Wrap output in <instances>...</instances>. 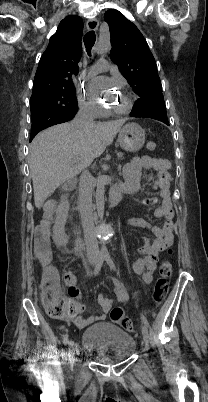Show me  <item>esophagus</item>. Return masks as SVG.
<instances>
[{"instance_id":"esophagus-1","label":"esophagus","mask_w":208,"mask_h":402,"mask_svg":"<svg viewBox=\"0 0 208 402\" xmlns=\"http://www.w3.org/2000/svg\"><path fill=\"white\" fill-rule=\"evenodd\" d=\"M98 25H99V22H98V20L96 18H91L86 23L87 29L90 30V31L97 30Z\"/></svg>"}]
</instances>
